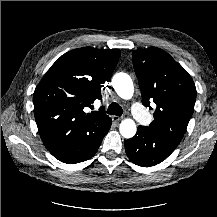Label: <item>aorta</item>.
Instances as JSON below:
<instances>
[{"label": "aorta", "instance_id": "762f6f07", "mask_svg": "<svg viewBox=\"0 0 217 217\" xmlns=\"http://www.w3.org/2000/svg\"><path fill=\"white\" fill-rule=\"evenodd\" d=\"M112 85L121 98L127 99L133 94V82L127 73L120 72L115 74L112 79ZM119 131L124 138L130 139L136 134V124L131 119H125L121 122Z\"/></svg>", "mask_w": 217, "mask_h": 217}]
</instances>
